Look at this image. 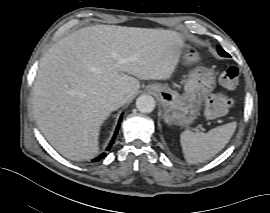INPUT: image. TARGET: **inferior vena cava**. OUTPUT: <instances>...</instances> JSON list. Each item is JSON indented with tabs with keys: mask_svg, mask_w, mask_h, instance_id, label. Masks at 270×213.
Listing matches in <instances>:
<instances>
[{
	"mask_svg": "<svg viewBox=\"0 0 270 213\" xmlns=\"http://www.w3.org/2000/svg\"><path fill=\"white\" fill-rule=\"evenodd\" d=\"M109 100L113 103L123 105L126 103V96L125 93L121 90H113L110 93Z\"/></svg>",
	"mask_w": 270,
	"mask_h": 213,
	"instance_id": "inferior-vena-cava-1",
	"label": "inferior vena cava"
}]
</instances>
